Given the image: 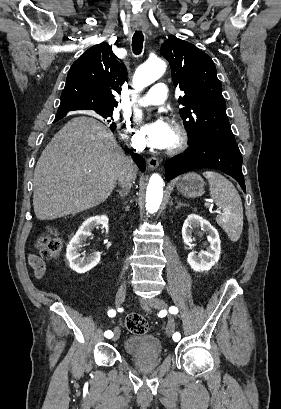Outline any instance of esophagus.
<instances>
[{
    "label": "esophagus",
    "mask_w": 281,
    "mask_h": 409,
    "mask_svg": "<svg viewBox=\"0 0 281 409\" xmlns=\"http://www.w3.org/2000/svg\"><path fill=\"white\" fill-rule=\"evenodd\" d=\"M148 165L151 169H156L159 166V160L156 157H151L148 160Z\"/></svg>",
    "instance_id": "1"
}]
</instances>
